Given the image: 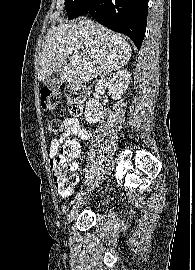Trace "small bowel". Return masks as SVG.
<instances>
[{"label":"small bowel","instance_id":"1","mask_svg":"<svg viewBox=\"0 0 195 270\" xmlns=\"http://www.w3.org/2000/svg\"><path fill=\"white\" fill-rule=\"evenodd\" d=\"M65 131L58 138H55L51 141L49 147V155H50V165L53 168L54 159L57 156L60 144L64 143L71 135H76L78 138L82 140H87L90 137L89 131L84 128L79 119L76 117H67L64 120ZM74 168L77 169V164H74ZM71 194V191L63 197H67Z\"/></svg>","mask_w":195,"mask_h":270}]
</instances>
